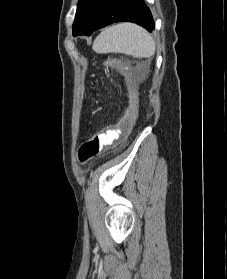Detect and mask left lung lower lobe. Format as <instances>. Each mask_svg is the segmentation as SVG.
<instances>
[{"label":"left lung lower lobe","mask_w":227,"mask_h":279,"mask_svg":"<svg viewBox=\"0 0 227 279\" xmlns=\"http://www.w3.org/2000/svg\"><path fill=\"white\" fill-rule=\"evenodd\" d=\"M120 21L136 23L150 32L154 29L153 17L143 0H93L82 27L73 36H89L100 28Z\"/></svg>","instance_id":"1"}]
</instances>
